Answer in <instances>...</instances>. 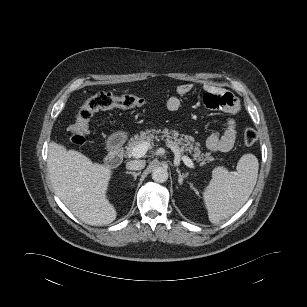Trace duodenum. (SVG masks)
Masks as SVG:
<instances>
[{"label":"duodenum","mask_w":307,"mask_h":307,"mask_svg":"<svg viewBox=\"0 0 307 307\" xmlns=\"http://www.w3.org/2000/svg\"><path fill=\"white\" fill-rule=\"evenodd\" d=\"M124 137L121 134L113 135L108 141V153L105 157L107 166H118L124 157Z\"/></svg>","instance_id":"obj_1"}]
</instances>
